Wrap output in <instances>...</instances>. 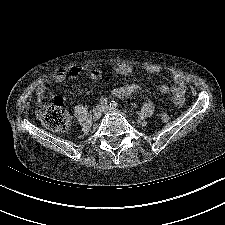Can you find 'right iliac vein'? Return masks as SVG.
Segmentation results:
<instances>
[{"mask_svg":"<svg viewBox=\"0 0 225 225\" xmlns=\"http://www.w3.org/2000/svg\"><path fill=\"white\" fill-rule=\"evenodd\" d=\"M102 113H103V109L101 106L95 107L92 111V119L94 121L98 120L101 117Z\"/></svg>","mask_w":225,"mask_h":225,"instance_id":"63e3f726","label":"right iliac vein"}]
</instances>
